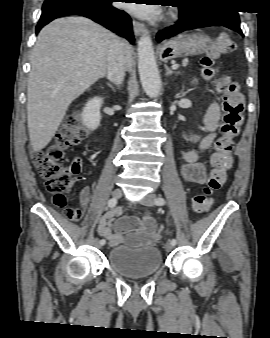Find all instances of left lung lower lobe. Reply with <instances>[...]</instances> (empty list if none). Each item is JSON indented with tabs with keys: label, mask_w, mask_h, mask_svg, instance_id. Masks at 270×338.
Instances as JSON below:
<instances>
[{
	"label": "left lung lower lobe",
	"mask_w": 270,
	"mask_h": 338,
	"mask_svg": "<svg viewBox=\"0 0 270 338\" xmlns=\"http://www.w3.org/2000/svg\"><path fill=\"white\" fill-rule=\"evenodd\" d=\"M210 26H224L243 35L240 29L238 12L227 9L221 4H214L194 13L187 14L180 10L179 21L175 25L158 32L157 40L160 42L186 30Z\"/></svg>",
	"instance_id": "obj_1"
}]
</instances>
